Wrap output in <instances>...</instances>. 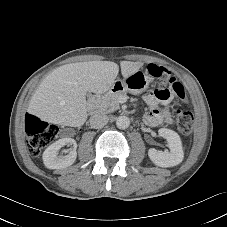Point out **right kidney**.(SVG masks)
I'll list each match as a JSON object with an SVG mask.
<instances>
[{
    "label": "right kidney",
    "mask_w": 227,
    "mask_h": 227,
    "mask_svg": "<svg viewBox=\"0 0 227 227\" xmlns=\"http://www.w3.org/2000/svg\"><path fill=\"white\" fill-rule=\"evenodd\" d=\"M65 145H73L69 154L58 155V151ZM77 144L72 138H62L52 143L43 153L44 165L49 169H63L72 165L77 157Z\"/></svg>",
    "instance_id": "1"
}]
</instances>
